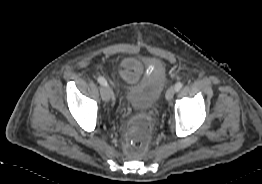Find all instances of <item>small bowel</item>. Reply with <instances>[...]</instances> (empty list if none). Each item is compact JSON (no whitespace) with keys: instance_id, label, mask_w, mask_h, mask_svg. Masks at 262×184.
<instances>
[{"instance_id":"1","label":"small bowel","mask_w":262,"mask_h":184,"mask_svg":"<svg viewBox=\"0 0 262 184\" xmlns=\"http://www.w3.org/2000/svg\"><path fill=\"white\" fill-rule=\"evenodd\" d=\"M141 72L140 64L131 58L123 61V69L120 72L121 77L126 81H134Z\"/></svg>"}]
</instances>
